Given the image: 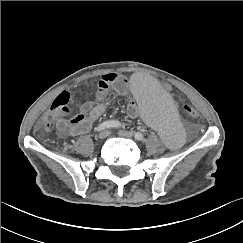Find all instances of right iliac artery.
<instances>
[{
  "label": "right iliac artery",
  "instance_id": "1",
  "mask_svg": "<svg viewBox=\"0 0 243 243\" xmlns=\"http://www.w3.org/2000/svg\"><path fill=\"white\" fill-rule=\"evenodd\" d=\"M121 127V123L117 120H109L101 123L99 126L95 128V131L100 132L109 128H119Z\"/></svg>",
  "mask_w": 243,
  "mask_h": 243
}]
</instances>
